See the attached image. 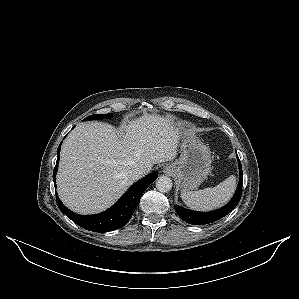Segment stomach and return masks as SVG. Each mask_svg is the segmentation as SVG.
<instances>
[{"instance_id": "1", "label": "stomach", "mask_w": 299, "mask_h": 299, "mask_svg": "<svg viewBox=\"0 0 299 299\" xmlns=\"http://www.w3.org/2000/svg\"><path fill=\"white\" fill-rule=\"evenodd\" d=\"M181 155L171 163V174L182 190L197 188L210 174L209 148L191 130L182 132Z\"/></svg>"}]
</instances>
